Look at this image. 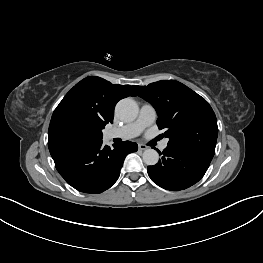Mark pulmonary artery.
I'll return each mask as SVG.
<instances>
[{"label": "pulmonary artery", "instance_id": "pulmonary-artery-1", "mask_svg": "<svg viewBox=\"0 0 263 263\" xmlns=\"http://www.w3.org/2000/svg\"><path fill=\"white\" fill-rule=\"evenodd\" d=\"M156 111L150 104H144L139 112L137 119L119 128H112L105 132L107 139L121 138L124 140L132 139L140 135L144 129L153 124L156 119ZM168 140L162 141L160 148L166 149Z\"/></svg>", "mask_w": 263, "mask_h": 263}]
</instances>
